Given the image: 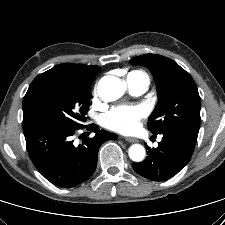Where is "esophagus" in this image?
Segmentation results:
<instances>
[{
  "mask_svg": "<svg viewBox=\"0 0 225 225\" xmlns=\"http://www.w3.org/2000/svg\"><path fill=\"white\" fill-rule=\"evenodd\" d=\"M124 139H125L127 142H130V143L138 142V139L133 138V137H125Z\"/></svg>",
  "mask_w": 225,
  "mask_h": 225,
  "instance_id": "34e87169",
  "label": "esophagus"
}]
</instances>
